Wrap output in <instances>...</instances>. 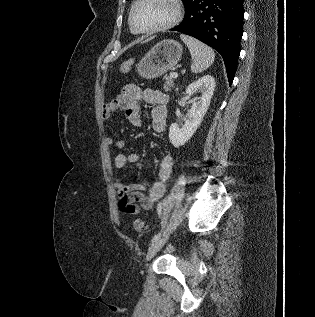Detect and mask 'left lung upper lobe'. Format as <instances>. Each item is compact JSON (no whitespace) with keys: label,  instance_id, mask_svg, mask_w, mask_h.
I'll list each match as a JSON object with an SVG mask.
<instances>
[{"label":"left lung upper lobe","instance_id":"obj_1","mask_svg":"<svg viewBox=\"0 0 315 317\" xmlns=\"http://www.w3.org/2000/svg\"><path fill=\"white\" fill-rule=\"evenodd\" d=\"M182 1L184 3L185 9H187L193 0H182Z\"/></svg>","mask_w":315,"mask_h":317}]
</instances>
